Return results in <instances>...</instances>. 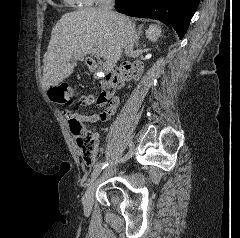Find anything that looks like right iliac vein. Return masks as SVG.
<instances>
[{"mask_svg":"<svg viewBox=\"0 0 240 238\" xmlns=\"http://www.w3.org/2000/svg\"><path fill=\"white\" fill-rule=\"evenodd\" d=\"M98 183L99 179L92 182L83 196L82 204L86 213H89L92 209L94 191Z\"/></svg>","mask_w":240,"mask_h":238,"instance_id":"right-iliac-vein-1","label":"right iliac vein"}]
</instances>
